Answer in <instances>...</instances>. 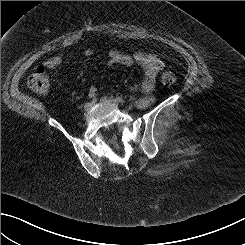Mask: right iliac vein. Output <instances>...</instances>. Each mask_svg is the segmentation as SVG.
<instances>
[{
  "instance_id": "1",
  "label": "right iliac vein",
  "mask_w": 245,
  "mask_h": 245,
  "mask_svg": "<svg viewBox=\"0 0 245 245\" xmlns=\"http://www.w3.org/2000/svg\"><path fill=\"white\" fill-rule=\"evenodd\" d=\"M92 107V103L91 102H88L84 105L83 109L85 112L89 111Z\"/></svg>"
}]
</instances>
